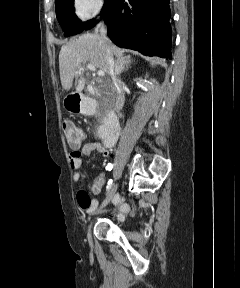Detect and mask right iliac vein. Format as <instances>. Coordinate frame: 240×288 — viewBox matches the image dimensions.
Returning <instances> with one entry per match:
<instances>
[{
    "label": "right iliac vein",
    "instance_id": "right-iliac-vein-1",
    "mask_svg": "<svg viewBox=\"0 0 240 288\" xmlns=\"http://www.w3.org/2000/svg\"><path fill=\"white\" fill-rule=\"evenodd\" d=\"M117 184H114L111 189L109 190L106 198L104 199V201L102 202L100 208L98 209L97 213H100L107 205L108 203L112 200L116 190H117ZM87 237H88V240L89 242H91V225L88 227V233H87Z\"/></svg>",
    "mask_w": 240,
    "mask_h": 288
}]
</instances>
